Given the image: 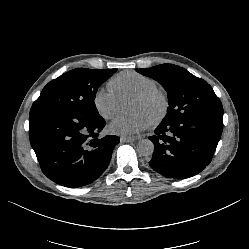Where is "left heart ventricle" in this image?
Wrapping results in <instances>:
<instances>
[{"instance_id": "b2bd125f", "label": "left heart ventricle", "mask_w": 249, "mask_h": 249, "mask_svg": "<svg viewBox=\"0 0 249 249\" xmlns=\"http://www.w3.org/2000/svg\"><path fill=\"white\" fill-rule=\"evenodd\" d=\"M158 111H159V103L157 101H153L150 103H143L134 99L132 105V113L141 114L147 119L148 122L157 115Z\"/></svg>"}]
</instances>
